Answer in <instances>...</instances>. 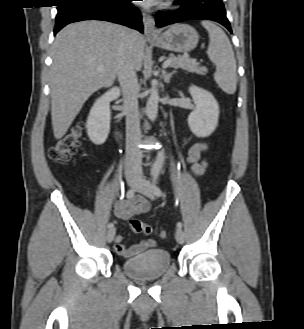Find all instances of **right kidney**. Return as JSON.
I'll use <instances>...</instances> for the list:
<instances>
[{
    "mask_svg": "<svg viewBox=\"0 0 304 329\" xmlns=\"http://www.w3.org/2000/svg\"><path fill=\"white\" fill-rule=\"evenodd\" d=\"M120 96V89L113 87L92 106L87 119V134L89 139L96 145L103 144L110 131V102Z\"/></svg>",
    "mask_w": 304,
    "mask_h": 329,
    "instance_id": "ca27d5eb",
    "label": "right kidney"
}]
</instances>
